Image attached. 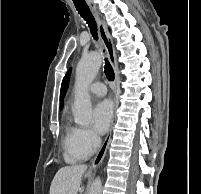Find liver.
Instances as JSON below:
<instances>
[{"label": "liver", "instance_id": "liver-1", "mask_svg": "<svg viewBox=\"0 0 201 194\" xmlns=\"http://www.w3.org/2000/svg\"><path fill=\"white\" fill-rule=\"evenodd\" d=\"M86 165H72L60 168L55 174L49 194H77ZM90 172L85 174L88 177Z\"/></svg>", "mask_w": 201, "mask_h": 194}]
</instances>
